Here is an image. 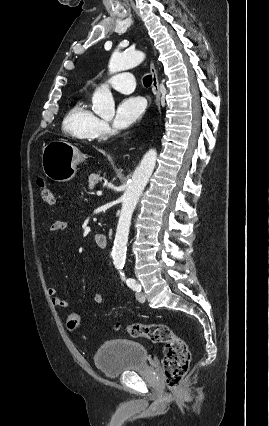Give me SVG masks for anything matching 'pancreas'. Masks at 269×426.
<instances>
[{"label": "pancreas", "mask_w": 269, "mask_h": 426, "mask_svg": "<svg viewBox=\"0 0 269 426\" xmlns=\"http://www.w3.org/2000/svg\"><path fill=\"white\" fill-rule=\"evenodd\" d=\"M103 180V177L100 174H91L88 178L89 189L93 190L95 185Z\"/></svg>", "instance_id": "cf45deb5"}]
</instances>
